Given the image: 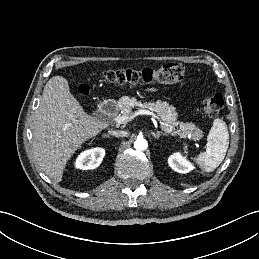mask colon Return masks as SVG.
<instances>
[{
    "instance_id": "5ec220e1",
    "label": "colon",
    "mask_w": 259,
    "mask_h": 259,
    "mask_svg": "<svg viewBox=\"0 0 259 259\" xmlns=\"http://www.w3.org/2000/svg\"><path fill=\"white\" fill-rule=\"evenodd\" d=\"M185 69L180 63H167L159 68L118 69L106 70L103 77L106 81L115 84H138L158 82L163 84H178L184 78ZM82 93L87 94V86H83ZM224 104L221 94L208 96L203 101V109L210 117L219 114Z\"/></svg>"
}]
</instances>
